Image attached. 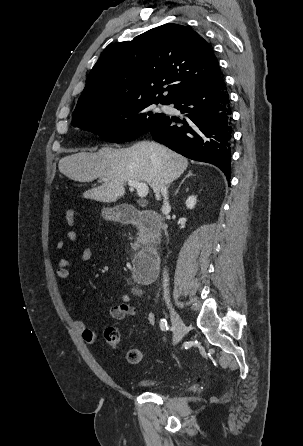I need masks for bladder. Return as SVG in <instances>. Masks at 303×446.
Here are the masks:
<instances>
[{
    "mask_svg": "<svg viewBox=\"0 0 303 446\" xmlns=\"http://www.w3.org/2000/svg\"><path fill=\"white\" fill-rule=\"evenodd\" d=\"M168 381L165 377L145 376L138 379L137 384L142 387H158Z\"/></svg>",
    "mask_w": 303,
    "mask_h": 446,
    "instance_id": "31cf9c89",
    "label": "bladder"
}]
</instances>
